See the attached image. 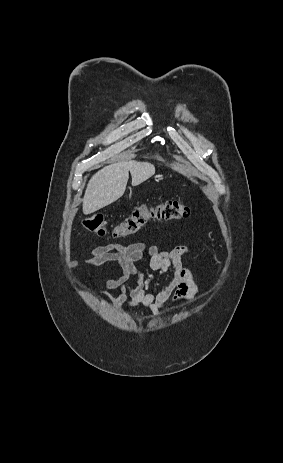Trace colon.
Listing matches in <instances>:
<instances>
[{"label": "colon", "instance_id": "5ec220e1", "mask_svg": "<svg viewBox=\"0 0 283 463\" xmlns=\"http://www.w3.org/2000/svg\"><path fill=\"white\" fill-rule=\"evenodd\" d=\"M190 215V208L178 200L163 199L154 204L137 205L132 213L119 222L112 230H107V223L102 215H93L83 221L86 230L97 235L109 233L113 237H126L139 232L152 219L183 220Z\"/></svg>", "mask_w": 283, "mask_h": 463}]
</instances>
